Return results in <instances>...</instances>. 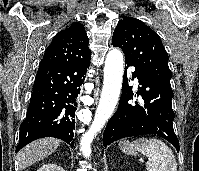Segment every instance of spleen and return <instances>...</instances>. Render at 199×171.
<instances>
[{
    "label": "spleen",
    "instance_id": "spleen-1",
    "mask_svg": "<svg viewBox=\"0 0 199 171\" xmlns=\"http://www.w3.org/2000/svg\"><path fill=\"white\" fill-rule=\"evenodd\" d=\"M137 151L148 156L147 171H177V163L172 150L156 138H139L131 142Z\"/></svg>",
    "mask_w": 199,
    "mask_h": 171
}]
</instances>
